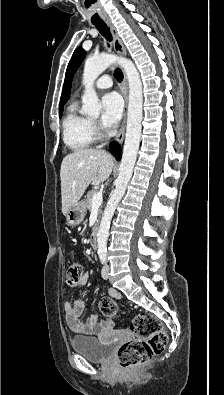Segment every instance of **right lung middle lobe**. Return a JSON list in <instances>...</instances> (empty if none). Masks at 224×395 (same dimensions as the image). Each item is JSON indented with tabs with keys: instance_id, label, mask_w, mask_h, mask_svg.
<instances>
[{
	"instance_id": "1",
	"label": "right lung middle lobe",
	"mask_w": 224,
	"mask_h": 395,
	"mask_svg": "<svg viewBox=\"0 0 224 395\" xmlns=\"http://www.w3.org/2000/svg\"><path fill=\"white\" fill-rule=\"evenodd\" d=\"M62 112H63V110L60 111V118H61V116H62Z\"/></svg>"
}]
</instances>
